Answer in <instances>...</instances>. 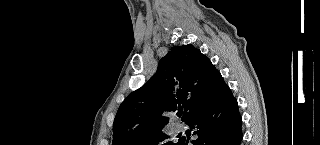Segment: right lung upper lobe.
<instances>
[{
	"mask_svg": "<svg viewBox=\"0 0 320 145\" xmlns=\"http://www.w3.org/2000/svg\"><path fill=\"white\" fill-rule=\"evenodd\" d=\"M221 76L211 61L193 45L173 47L157 72L121 104L113 125V145H132L168 123L166 111L182 104L185 123L209 103Z\"/></svg>",
	"mask_w": 320,
	"mask_h": 145,
	"instance_id": "right-lung-upper-lobe-1",
	"label": "right lung upper lobe"
}]
</instances>
